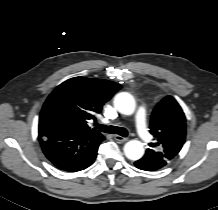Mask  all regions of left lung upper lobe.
I'll use <instances>...</instances> for the list:
<instances>
[{
    "label": "left lung upper lobe",
    "instance_id": "obj_1",
    "mask_svg": "<svg viewBox=\"0 0 218 210\" xmlns=\"http://www.w3.org/2000/svg\"><path fill=\"white\" fill-rule=\"evenodd\" d=\"M150 133L154 142L149 144L146 154L165 166L179 153L186 137L184 112L172 96H166L154 108Z\"/></svg>",
    "mask_w": 218,
    "mask_h": 210
}]
</instances>
